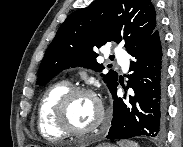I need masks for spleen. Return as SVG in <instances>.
I'll list each match as a JSON object with an SVG mask.
<instances>
[{"label":"spleen","instance_id":"3e777b00","mask_svg":"<svg viewBox=\"0 0 183 147\" xmlns=\"http://www.w3.org/2000/svg\"><path fill=\"white\" fill-rule=\"evenodd\" d=\"M118 145L119 147H139L138 143L133 141H119Z\"/></svg>","mask_w":183,"mask_h":147}]
</instances>
